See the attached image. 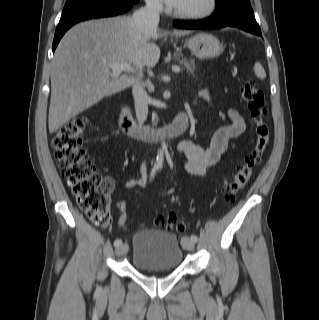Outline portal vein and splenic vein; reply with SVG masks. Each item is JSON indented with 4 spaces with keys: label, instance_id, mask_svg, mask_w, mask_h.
<instances>
[{
    "label": "portal vein and splenic vein",
    "instance_id": "1",
    "mask_svg": "<svg viewBox=\"0 0 319 320\" xmlns=\"http://www.w3.org/2000/svg\"><path fill=\"white\" fill-rule=\"evenodd\" d=\"M109 67L112 69V75L114 77L118 76L123 71H130V72L134 71L133 67L129 63L115 62L110 64ZM172 71H174L175 73H179L180 67L173 66Z\"/></svg>",
    "mask_w": 319,
    "mask_h": 320
}]
</instances>
